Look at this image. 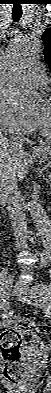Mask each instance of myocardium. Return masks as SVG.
Masks as SVG:
<instances>
[{
    "label": "myocardium",
    "mask_w": 51,
    "mask_h": 393,
    "mask_svg": "<svg viewBox=\"0 0 51 393\" xmlns=\"http://www.w3.org/2000/svg\"><path fill=\"white\" fill-rule=\"evenodd\" d=\"M47 102L51 103V97L47 100ZM36 125H37L39 131L41 132L42 136H44V137H50L51 136V132L46 130L43 127V125L40 122H38L37 120H36Z\"/></svg>",
    "instance_id": "myocardium-1"
}]
</instances>
